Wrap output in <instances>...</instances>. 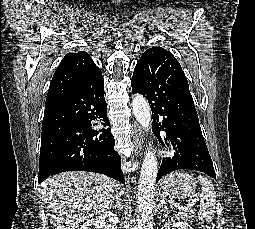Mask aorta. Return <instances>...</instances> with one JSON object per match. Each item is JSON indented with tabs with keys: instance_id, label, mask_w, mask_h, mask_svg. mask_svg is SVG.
Returning <instances> with one entry per match:
<instances>
[{
	"instance_id": "obj_1",
	"label": "aorta",
	"mask_w": 255,
	"mask_h": 229,
	"mask_svg": "<svg viewBox=\"0 0 255 229\" xmlns=\"http://www.w3.org/2000/svg\"><path fill=\"white\" fill-rule=\"evenodd\" d=\"M132 109L135 118L139 124L148 131L151 127V112L150 107L141 94L134 96L132 101ZM158 172V163L152 148L149 147L145 153L142 168L140 172L139 185H138V209L142 220L153 229L154 226V216L152 214L153 210V192L156 183Z\"/></svg>"
}]
</instances>
